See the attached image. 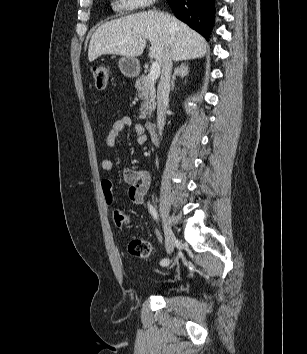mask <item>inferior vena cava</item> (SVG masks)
<instances>
[{
	"label": "inferior vena cava",
	"mask_w": 307,
	"mask_h": 354,
	"mask_svg": "<svg viewBox=\"0 0 307 354\" xmlns=\"http://www.w3.org/2000/svg\"><path fill=\"white\" fill-rule=\"evenodd\" d=\"M161 67V78L157 88V127L160 135H162L165 125L166 105L168 103L170 93L172 57L169 49H166Z\"/></svg>",
	"instance_id": "1"
}]
</instances>
